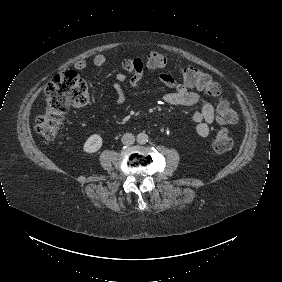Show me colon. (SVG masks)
<instances>
[{
  "label": "colon",
  "mask_w": 282,
  "mask_h": 282,
  "mask_svg": "<svg viewBox=\"0 0 282 282\" xmlns=\"http://www.w3.org/2000/svg\"><path fill=\"white\" fill-rule=\"evenodd\" d=\"M148 64L153 69H162L171 65L166 56L157 51L149 53ZM179 72L187 85L197 87L218 98L219 121L225 124L237 121V113L230 102L221 97L220 85L210 75L190 65L181 66ZM88 103V86L76 72L66 71L54 76L45 89L44 114L36 122L37 133L46 142L55 141L63 126L66 109L84 107ZM232 145L233 140L227 130L219 131L213 138L214 150L219 154L230 151Z\"/></svg>",
  "instance_id": "1"
}]
</instances>
